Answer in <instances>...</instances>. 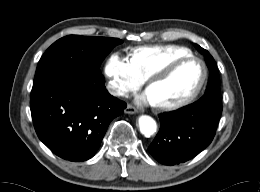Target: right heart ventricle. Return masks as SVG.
<instances>
[{"mask_svg":"<svg viewBox=\"0 0 260 192\" xmlns=\"http://www.w3.org/2000/svg\"><path fill=\"white\" fill-rule=\"evenodd\" d=\"M180 56L181 54L175 50L158 52L152 49H142L134 54L132 65L140 77L148 78Z\"/></svg>","mask_w":260,"mask_h":192,"instance_id":"e07e8e85","label":"right heart ventricle"}]
</instances>
